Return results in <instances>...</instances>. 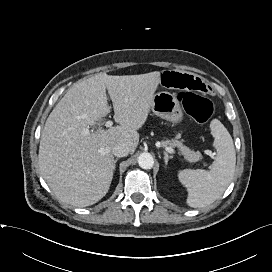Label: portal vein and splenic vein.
Wrapping results in <instances>:
<instances>
[{
	"label": "portal vein and splenic vein",
	"instance_id": "portal-vein-and-splenic-vein-1",
	"mask_svg": "<svg viewBox=\"0 0 272 272\" xmlns=\"http://www.w3.org/2000/svg\"><path fill=\"white\" fill-rule=\"evenodd\" d=\"M112 125H113V122H112V121H107V122L105 123V126H106V127H111ZM83 133L87 135V134L90 133V131H89V129H84ZM165 149H166L167 152H169V153H171V154H174V153H175V150H174L173 148H171V147H166Z\"/></svg>",
	"mask_w": 272,
	"mask_h": 272
}]
</instances>
